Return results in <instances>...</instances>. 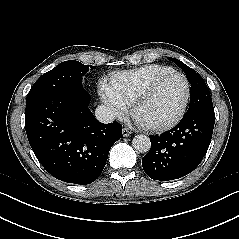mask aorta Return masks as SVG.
Wrapping results in <instances>:
<instances>
[{
	"label": "aorta",
	"mask_w": 239,
	"mask_h": 239,
	"mask_svg": "<svg viewBox=\"0 0 239 239\" xmlns=\"http://www.w3.org/2000/svg\"><path fill=\"white\" fill-rule=\"evenodd\" d=\"M134 149L140 153H146L151 148L150 138L146 135H136L132 140Z\"/></svg>",
	"instance_id": "aorta-1"
}]
</instances>
